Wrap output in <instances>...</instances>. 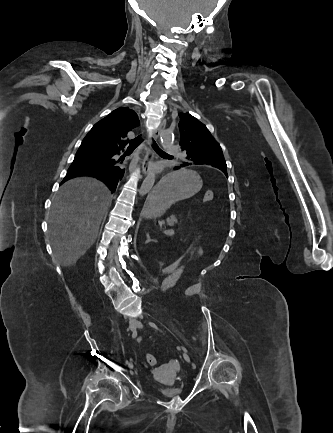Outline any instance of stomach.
Returning a JSON list of instances; mask_svg holds the SVG:
<instances>
[{
	"label": "stomach",
	"instance_id": "0dacf381",
	"mask_svg": "<svg viewBox=\"0 0 333 433\" xmlns=\"http://www.w3.org/2000/svg\"><path fill=\"white\" fill-rule=\"evenodd\" d=\"M198 176V169H171L170 174L160 176V183H154L147 197L144 219L162 220L172 204L181 199H191L202 186Z\"/></svg>",
	"mask_w": 333,
	"mask_h": 433
}]
</instances>
